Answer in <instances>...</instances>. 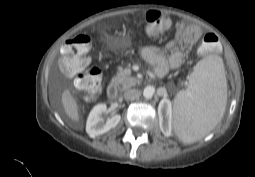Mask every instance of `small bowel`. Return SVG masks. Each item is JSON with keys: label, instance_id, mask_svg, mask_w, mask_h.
<instances>
[{"label": "small bowel", "instance_id": "small-bowel-1", "mask_svg": "<svg viewBox=\"0 0 255 177\" xmlns=\"http://www.w3.org/2000/svg\"><path fill=\"white\" fill-rule=\"evenodd\" d=\"M202 36L200 28L196 26L183 27L178 26L173 38L169 40L165 49L171 51L166 58L162 51L155 46H146L141 50L143 58L155 66L156 73L159 76L166 74L168 68L178 69L184 61V53L178 49L180 43L194 44Z\"/></svg>", "mask_w": 255, "mask_h": 177}]
</instances>
